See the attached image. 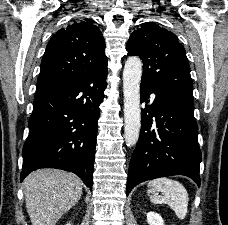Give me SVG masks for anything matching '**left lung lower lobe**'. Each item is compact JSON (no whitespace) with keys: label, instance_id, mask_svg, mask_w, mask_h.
<instances>
[{"label":"left lung lower lobe","instance_id":"obj_1","mask_svg":"<svg viewBox=\"0 0 228 225\" xmlns=\"http://www.w3.org/2000/svg\"><path fill=\"white\" fill-rule=\"evenodd\" d=\"M151 93L156 97L142 109L140 137L129 165L126 194L141 182L171 175L190 177L200 186L201 151L194 99L160 91L141 81V102L149 103Z\"/></svg>","mask_w":228,"mask_h":225}]
</instances>
